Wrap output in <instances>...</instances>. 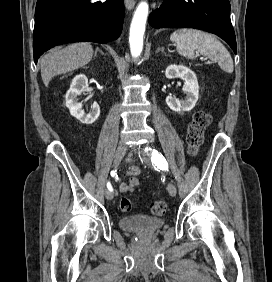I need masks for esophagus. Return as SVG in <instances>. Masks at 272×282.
<instances>
[{"mask_svg": "<svg viewBox=\"0 0 272 282\" xmlns=\"http://www.w3.org/2000/svg\"><path fill=\"white\" fill-rule=\"evenodd\" d=\"M124 3H125V7L128 10H132L135 6V0H124Z\"/></svg>", "mask_w": 272, "mask_h": 282, "instance_id": "1", "label": "esophagus"}]
</instances>
